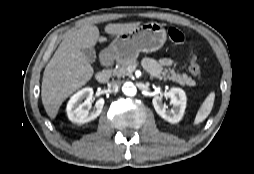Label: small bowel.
<instances>
[{
	"mask_svg": "<svg viewBox=\"0 0 254 174\" xmlns=\"http://www.w3.org/2000/svg\"><path fill=\"white\" fill-rule=\"evenodd\" d=\"M171 64L172 61L166 58L160 60H156L153 58H145L143 60V66L153 76L158 75L163 67L170 66Z\"/></svg>",
	"mask_w": 254,
	"mask_h": 174,
	"instance_id": "1",
	"label": "small bowel"
}]
</instances>
